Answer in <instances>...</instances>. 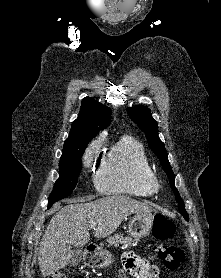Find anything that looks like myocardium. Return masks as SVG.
<instances>
[{"label": "myocardium", "mask_w": 221, "mask_h": 278, "mask_svg": "<svg viewBox=\"0 0 221 278\" xmlns=\"http://www.w3.org/2000/svg\"><path fill=\"white\" fill-rule=\"evenodd\" d=\"M147 186H148L151 193H155L159 190L160 182H159L158 178L155 176L154 173H151L147 177Z\"/></svg>", "instance_id": "myocardium-1"}]
</instances>
